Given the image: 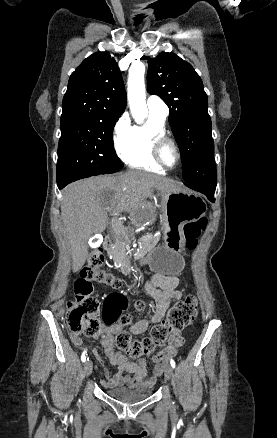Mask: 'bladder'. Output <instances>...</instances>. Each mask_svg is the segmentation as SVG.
I'll return each instance as SVG.
<instances>
[{"label":"bladder","instance_id":"31cf9c89","mask_svg":"<svg viewBox=\"0 0 277 438\" xmlns=\"http://www.w3.org/2000/svg\"><path fill=\"white\" fill-rule=\"evenodd\" d=\"M152 390L147 389H134L128 387H112L107 390V395L114 401L131 404L143 401L149 397Z\"/></svg>","mask_w":277,"mask_h":438}]
</instances>
